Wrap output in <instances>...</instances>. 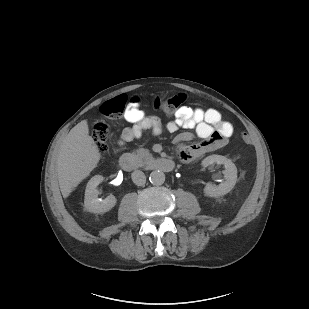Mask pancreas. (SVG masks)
Listing matches in <instances>:
<instances>
[{
  "label": "pancreas",
  "mask_w": 309,
  "mask_h": 309,
  "mask_svg": "<svg viewBox=\"0 0 309 309\" xmlns=\"http://www.w3.org/2000/svg\"><path fill=\"white\" fill-rule=\"evenodd\" d=\"M131 157L138 166H142L145 162L152 159V154L148 149L139 148L131 154Z\"/></svg>",
  "instance_id": "obj_1"
}]
</instances>
